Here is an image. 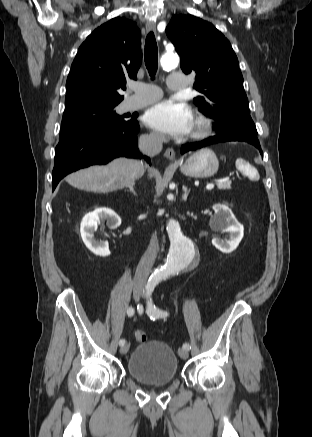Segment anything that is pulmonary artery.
Returning <instances> with one entry per match:
<instances>
[{
  "mask_svg": "<svg viewBox=\"0 0 312 437\" xmlns=\"http://www.w3.org/2000/svg\"><path fill=\"white\" fill-rule=\"evenodd\" d=\"M168 87L172 90L184 89L187 86V78L181 73H173L168 77ZM162 97V91L152 85L139 84L136 94L127 103V109L135 110L158 101Z\"/></svg>",
  "mask_w": 312,
  "mask_h": 437,
  "instance_id": "obj_1",
  "label": "pulmonary artery"
}]
</instances>
